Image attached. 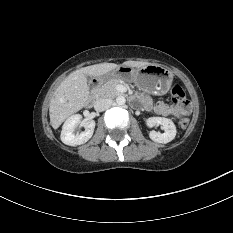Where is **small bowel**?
<instances>
[{
    "label": "small bowel",
    "instance_id": "c3829d8e",
    "mask_svg": "<svg viewBox=\"0 0 233 233\" xmlns=\"http://www.w3.org/2000/svg\"><path fill=\"white\" fill-rule=\"evenodd\" d=\"M138 98L143 101V104L146 108H153V110L159 115L181 118L186 116L190 111V105L188 103L185 106H170L164 102H158L155 105H153L148 99L144 98L142 95Z\"/></svg>",
    "mask_w": 233,
    "mask_h": 233
}]
</instances>
